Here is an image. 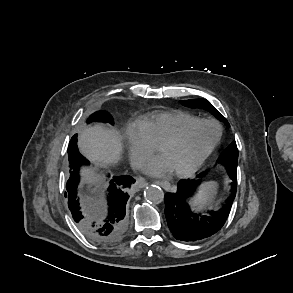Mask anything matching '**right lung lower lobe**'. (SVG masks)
I'll list each match as a JSON object with an SVG mask.
<instances>
[{"mask_svg":"<svg viewBox=\"0 0 293 293\" xmlns=\"http://www.w3.org/2000/svg\"><path fill=\"white\" fill-rule=\"evenodd\" d=\"M68 156L70 176L66 184L65 197L68 199V207L78 228L94 242L101 244L118 242L128 227L125 207L129 195L126 188L135 180L130 176L114 177L108 188L106 207L82 208L77 197L79 167L88 162L78 151L77 134L69 142Z\"/></svg>","mask_w":293,"mask_h":293,"instance_id":"right-lung-lower-lobe-1","label":"right lung lower lobe"}]
</instances>
